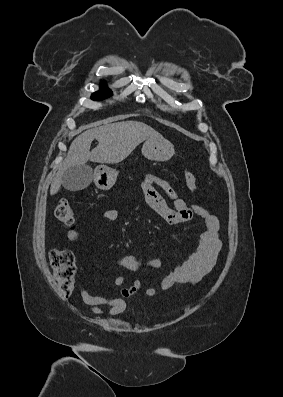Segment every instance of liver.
<instances>
[{"instance_id": "obj_1", "label": "liver", "mask_w": 283, "mask_h": 397, "mask_svg": "<svg viewBox=\"0 0 283 397\" xmlns=\"http://www.w3.org/2000/svg\"><path fill=\"white\" fill-rule=\"evenodd\" d=\"M162 138V135L152 127L138 121L110 123L87 130L71 143L67 156L51 184L50 194L54 195L59 191L63 173L69 167L84 165L87 161L105 164L119 163L127 158L141 142ZM94 139L98 141V145L90 151Z\"/></svg>"}]
</instances>
